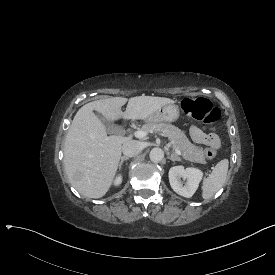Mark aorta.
Listing matches in <instances>:
<instances>
[{"instance_id": "obj_1", "label": "aorta", "mask_w": 275, "mask_h": 275, "mask_svg": "<svg viewBox=\"0 0 275 275\" xmlns=\"http://www.w3.org/2000/svg\"><path fill=\"white\" fill-rule=\"evenodd\" d=\"M164 158V151L159 147H154L150 151V159L153 162H159Z\"/></svg>"}]
</instances>
